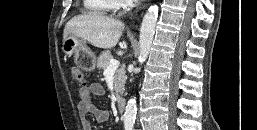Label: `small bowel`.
I'll use <instances>...</instances> for the list:
<instances>
[{
    "label": "small bowel",
    "instance_id": "obj_1",
    "mask_svg": "<svg viewBox=\"0 0 257 130\" xmlns=\"http://www.w3.org/2000/svg\"><path fill=\"white\" fill-rule=\"evenodd\" d=\"M104 89L97 83L83 86L78 91L79 103L78 111L81 118L83 130H94L91 122L87 119L88 114H92L98 123H103L109 118V111L96 107L93 103L94 96H103Z\"/></svg>",
    "mask_w": 257,
    "mask_h": 130
}]
</instances>
